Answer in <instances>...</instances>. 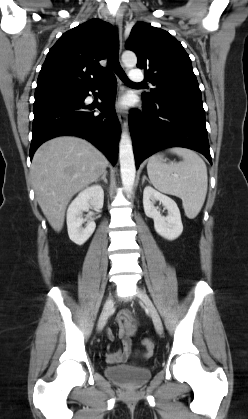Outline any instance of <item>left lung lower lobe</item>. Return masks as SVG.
<instances>
[{
	"label": "left lung lower lobe",
	"instance_id": "left-lung-lower-lobe-1",
	"mask_svg": "<svg viewBox=\"0 0 248 419\" xmlns=\"http://www.w3.org/2000/svg\"><path fill=\"white\" fill-rule=\"evenodd\" d=\"M136 168L165 148L185 147L202 153L212 164L202 99L169 97L143 100V111L129 116Z\"/></svg>",
	"mask_w": 248,
	"mask_h": 419
}]
</instances>
